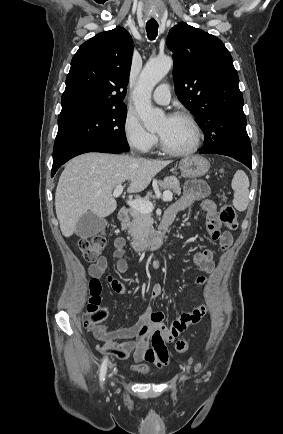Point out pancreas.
<instances>
[{
    "label": "pancreas",
    "instance_id": "obj_1",
    "mask_svg": "<svg viewBox=\"0 0 283 434\" xmlns=\"http://www.w3.org/2000/svg\"><path fill=\"white\" fill-rule=\"evenodd\" d=\"M160 188L172 190L175 195L181 194V186L176 177L160 181ZM145 200H149L146 198ZM131 221L122 222V230H127L136 245H142L153 232V219L150 213H142L133 208L129 209Z\"/></svg>",
    "mask_w": 283,
    "mask_h": 434
}]
</instances>
